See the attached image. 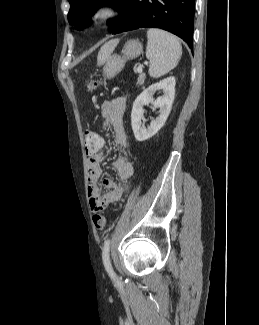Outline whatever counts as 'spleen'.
Segmentation results:
<instances>
[{
	"label": "spleen",
	"instance_id": "1",
	"mask_svg": "<svg viewBox=\"0 0 259 325\" xmlns=\"http://www.w3.org/2000/svg\"><path fill=\"white\" fill-rule=\"evenodd\" d=\"M146 57L149 75L159 78L175 68L182 55L178 38L167 31L151 28L147 31Z\"/></svg>",
	"mask_w": 259,
	"mask_h": 325
}]
</instances>
